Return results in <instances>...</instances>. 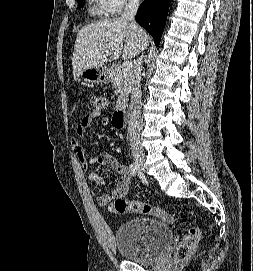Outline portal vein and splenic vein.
Returning <instances> with one entry per match:
<instances>
[{
	"label": "portal vein and splenic vein",
	"mask_w": 253,
	"mask_h": 271,
	"mask_svg": "<svg viewBox=\"0 0 253 271\" xmlns=\"http://www.w3.org/2000/svg\"><path fill=\"white\" fill-rule=\"evenodd\" d=\"M132 68H133L132 62H130V61L123 62L122 69L124 72H129L132 70Z\"/></svg>",
	"instance_id": "1"
}]
</instances>
